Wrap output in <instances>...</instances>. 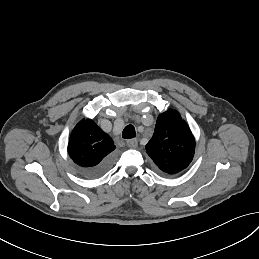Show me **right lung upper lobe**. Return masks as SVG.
Wrapping results in <instances>:
<instances>
[{
    "instance_id": "obj_1",
    "label": "right lung upper lobe",
    "mask_w": 259,
    "mask_h": 259,
    "mask_svg": "<svg viewBox=\"0 0 259 259\" xmlns=\"http://www.w3.org/2000/svg\"><path fill=\"white\" fill-rule=\"evenodd\" d=\"M114 149L111 137L90 119H83L75 126L68 143L70 158L81 167L96 166Z\"/></svg>"
}]
</instances>
